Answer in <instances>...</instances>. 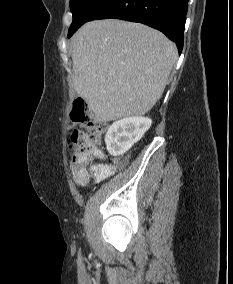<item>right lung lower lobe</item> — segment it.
Masks as SVG:
<instances>
[{
  "mask_svg": "<svg viewBox=\"0 0 233 284\" xmlns=\"http://www.w3.org/2000/svg\"><path fill=\"white\" fill-rule=\"evenodd\" d=\"M187 8L188 0H108L88 21L111 18L146 24L174 41L181 53Z\"/></svg>",
  "mask_w": 233,
  "mask_h": 284,
  "instance_id": "obj_1",
  "label": "right lung lower lobe"
}]
</instances>
